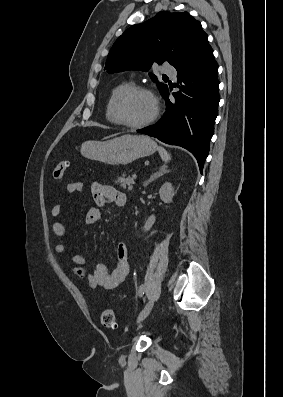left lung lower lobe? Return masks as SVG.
Here are the masks:
<instances>
[{"instance_id":"obj_1","label":"left lung lower lobe","mask_w":283,"mask_h":397,"mask_svg":"<svg viewBox=\"0 0 283 397\" xmlns=\"http://www.w3.org/2000/svg\"><path fill=\"white\" fill-rule=\"evenodd\" d=\"M180 90L169 100L168 89L162 94L166 112L155 125L138 130L160 141L190 151L202 172L209 153L210 140L220 101L217 78L218 65L208 44L177 69Z\"/></svg>"}]
</instances>
